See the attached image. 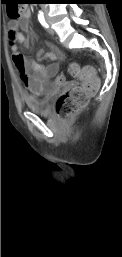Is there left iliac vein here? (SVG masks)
Masks as SVG:
<instances>
[{
  "instance_id": "4c4485c4",
  "label": "left iliac vein",
  "mask_w": 122,
  "mask_h": 257,
  "mask_svg": "<svg viewBox=\"0 0 122 257\" xmlns=\"http://www.w3.org/2000/svg\"><path fill=\"white\" fill-rule=\"evenodd\" d=\"M48 21V20H47ZM48 23H49V21H48ZM49 33L50 34H53V30L52 29H49Z\"/></svg>"
}]
</instances>
